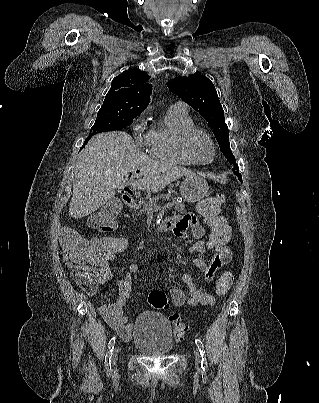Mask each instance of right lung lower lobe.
Wrapping results in <instances>:
<instances>
[{
	"label": "right lung lower lobe",
	"instance_id": "obj_1",
	"mask_svg": "<svg viewBox=\"0 0 319 403\" xmlns=\"http://www.w3.org/2000/svg\"><path fill=\"white\" fill-rule=\"evenodd\" d=\"M96 133H91L86 139H85V141H84V145L85 144H87V142L89 141V139L93 136V135H95ZM82 149V148H81Z\"/></svg>",
	"mask_w": 319,
	"mask_h": 403
}]
</instances>
